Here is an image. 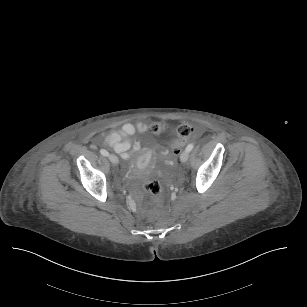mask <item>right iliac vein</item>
<instances>
[{
	"mask_svg": "<svg viewBox=\"0 0 307 307\" xmlns=\"http://www.w3.org/2000/svg\"><path fill=\"white\" fill-rule=\"evenodd\" d=\"M108 159L112 164H118V158L114 154H109Z\"/></svg>",
	"mask_w": 307,
	"mask_h": 307,
	"instance_id": "1",
	"label": "right iliac vein"
}]
</instances>
